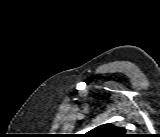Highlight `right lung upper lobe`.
Masks as SVG:
<instances>
[{
    "instance_id": "1",
    "label": "right lung upper lobe",
    "mask_w": 160,
    "mask_h": 137,
    "mask_svg": "<svg viewBox=\"0 0 160 137\" xmlns=\"http://www.w3.org/2000/svg\"><path fill=\"white\" fill-rule=\"evenodd\" d=\"M87 134L94 137H119L125 136V129L112 124H104L92 129Z\"/></svg>"
}]
</instances>
